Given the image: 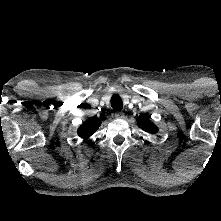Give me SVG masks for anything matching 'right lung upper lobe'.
<instances>
[{"mask_svg":"<svg viewBox=\"0 0 221 221\" xmlns=\"http://www.w3.org/2000/svg\"><path fill=\"white\" fill-rule=\"evenodd\" d=\"M101 125V119L94 117L86 120L79 128L78 135L87 140Z\"/></svg>","mask_w":221,"mask_h":221,"instance_id":"right-lung-upper-lobe-1","label":"right lung upper lobe"}]
</instances>
